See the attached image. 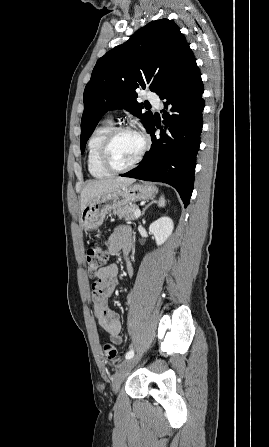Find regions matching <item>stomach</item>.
<instances>
[{"mask_svg":"<svg viewBox=\"0 0 269 447\" xmlns=\"http://www.w3.org/2000/svg\"><path fill=\"white\" fill-rule=\"evenodd\" d=\"M155 194H157L155 186H152L150 182H142V184H133V186H122L119 190H112L108 194L97 196L94 200H90L82 210L80 225L85 231H92L98 225L103 224L106 214H109L111 210H118L132 202L150 200Z\"/></svg>","mask_w":269,"mask_h":447,"instance_id":"0dacf381","label":"stomach"}]
</instances>
